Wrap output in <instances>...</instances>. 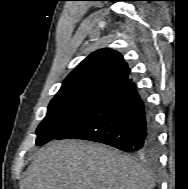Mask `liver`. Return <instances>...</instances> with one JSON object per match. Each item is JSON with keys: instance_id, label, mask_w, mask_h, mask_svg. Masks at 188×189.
<instances>
[{"instance_id": "6515ba94", "label": "liver", "mask_w": 188, "mask_h": 189, "mask_svg": "<svg viewBox=\"0 0 188 189\" xmlns=\"http://www.w3.org/2000/svg\"><path fill=\"white\" fill-rule=\"evenodd\" d=\"M152 174L119 150L82 140L39 150L20 189H152Z\"/></svg>"}]
</instances>
